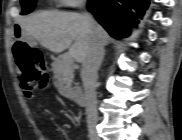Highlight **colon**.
Wrapping results in <instances>:
<instances>
[{
	"label": "colon",
	"mask_w": 182,
	"mask_h": 140,
	"mask_svg": "<svg viewBox=\"0 0 182 140\" xmlns=\"http://www.w3.org/2000/svg\"><path fill=\"white\" fill-rule=\"evenodd\" d=\"M13 53L17 61V71L21 87L27 98H32L34 90L46 84L48 73L42 53L26 43L14 44Z\"/></svg>",
	"instance_id": "1"
}]
</instances>
